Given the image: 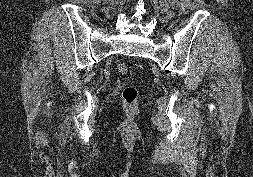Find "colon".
<instances>
[{"mask_svg":"<svg viewBox=\"0 0 253 177\" xmlns=\"http://www.w3.org/2000/svg\"><path fill=\"white\" fill-rule=\"evenodd\" d=\"M117 70L119 73L126 75L129 72V67L125 63H119L117 65ZM139 97V91L134 86H127L122 91V100L124 105L129 109H134L137 106Z\"/></svg>","mask_w":253,"mask_h":177,"instance_id":"5ec220e1","label":"colon"}]
</instances>
